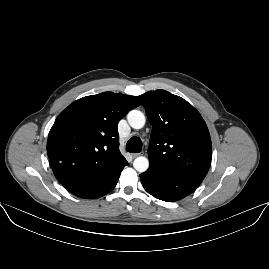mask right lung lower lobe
Returning a JSON list of instances; mask_svg holds the SVG:
<instances>
[{"label":"right lung lower lobe","instance_id":"obj_1","mask_svg":"<svg viewBox=\"0 0 269 269\" xmlns=\"http://www.w3.org/2000/svg\"><path fill=\"white\" fill-rule=\"evenodd\" d=\"M127 164L128 162L124 158L103 175L73 180L63 183L62 185L69 192L78 197L87 199L99 198L114 189L118 182L121 171Z\"/></svg>","mask_w":269,"mask_h":269}]
</instances>
